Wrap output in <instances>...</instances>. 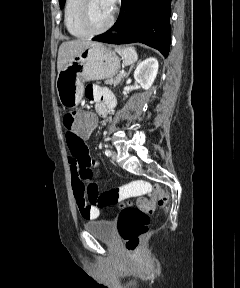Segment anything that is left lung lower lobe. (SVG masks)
<instances>
[{
	"label": "left lung lower lobe",
	"mask_w": 240,
	"mask_h": 288,
	"mask_svg": "<svg viewBox=\"0 0 240 288\" xmlns=\"http://www.w3.org/2000/svg\"><path fill=\"white\" fill-rule=\"evenodd\" d=\"M171 0H122L119 17L111 30L95 41L122 44L140 42L159 50L165 57L170 49Z\"/></svg>",
	"instance_id": "1"
}]
</instances>
